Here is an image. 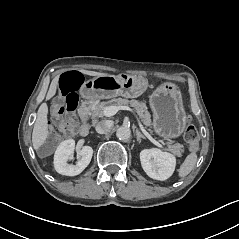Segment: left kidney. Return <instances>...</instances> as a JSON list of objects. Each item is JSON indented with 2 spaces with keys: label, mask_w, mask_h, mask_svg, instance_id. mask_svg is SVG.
<instances>
[{
  "label": "left kidney",
  "mask_w": 239,
  "mask_h": 239,
  "mask_svg": "<svg viewBox=\"0 0 239 239\" xmlns=\"http://www.w3.org/2000/svg\"><path fill=\"white\" fill-rule=\"evenodd\" d=\"M140 161L146 174L155 180L167 179L175 168L174 156L158 149L143 150L140 153Z\"/></svg>",
  "instance_id": "1"
}]
</instances>
